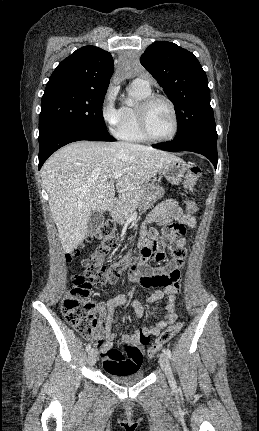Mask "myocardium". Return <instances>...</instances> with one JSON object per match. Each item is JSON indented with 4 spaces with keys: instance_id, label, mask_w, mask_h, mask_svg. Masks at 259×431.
<instances>
[{
    "instance_id": "f54148a6",
    "label": "myocardium",
    "mask_w": 259,
    "mask_h": 431,
    "mask_svg": "<svg viewBox=\"0 0 259 431\" xmlns=\"http://www.w3.org/2000/svg\"><path fill=\"white\" fill-rule=\"evenodd\" d=\"M159 100L165 102L169 106L173 116V130L169 136L164 138L154 137L149 130V124H148V115H149L150 107L156 101H159ZM137 120H138V126L141 133L148 141H151V142L161 143V142L171 141L172 139L175 138L179 130V119H178V114H177L175 105L167 96L162 94H155V93L150 94L149 96L145 97L139 102L137 106Z\"/></svg>"
}]
</instances>
